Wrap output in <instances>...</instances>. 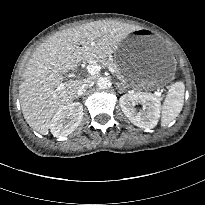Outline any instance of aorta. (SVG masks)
<instances>
[{
	"mask_svg": "<svg viewBox=\"0 0 205 205\" xmlns=\"http://www.w3.org/2000/svg\"><path fill=\"white\" fill-rule=\"evenodd\" d=\"M97 85H98V87H100L102 89H106V88H109L111 86V81L106 77H100L97 80Z\"/></svg>",
	"mask_w": 205,
	"mask_h": 205,
	"instance_id": "1",
	"label": "aorta"
}]
</instances>
